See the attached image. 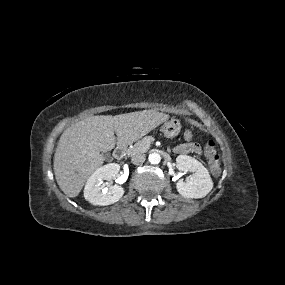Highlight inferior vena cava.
<instances>
[{
	"label": "inferior vena cava",
	"mask_w": 285,
	"mask_h": 285,
	"mask_svg": "<svg viewBox=\"0 0 285 285\" xmlns=\"http://www.w3.org/2000/svg\"><path fill=\"white\" fill-rule=\"evenodd\" d=\"M145 161L144 154H136L132 157L131 162L135 165L141 164Z\"/></svg>",
	"instance_id": "602c4592"
}]
</instances>
